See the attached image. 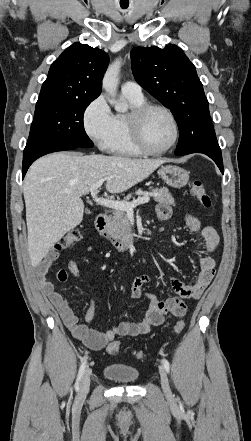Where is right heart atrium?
<instances>
[{"label":"right heart atrium","mask_w":251,"mask_h":441,"mask_svg":"<svg viewBox=\"0 0 251 441\" xmlns=\"http://www.w3.org/2000/svg\"><path fill=\"white\" fill-rule=\"evenodd\" d=\"M83 126L87 136L100 148L107 150L114 135V115L103 95L97 96L85 108Z\"/></svg>","instance_id":"right-heart-atrium-1"}]
</instances>
